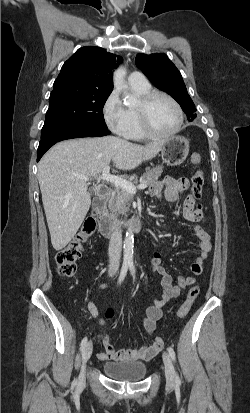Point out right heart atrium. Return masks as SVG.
<instances>
[{
  "mask_svg": "<svg viewBox=\"0 0 250 413\" xmlns=\"http://www.w3.org/2000/svg\"><path fill=\"white\" fill-rule=\"evenodd\" d=\"M105 124L113 133L124 135L127 125V114L117 91H112L102 106Z\"/></svg>",
  "mask_w": 250,
  "mask_h": 413,
  "instance_id": "1",
  "label": "right heart atrium"
}]
</instances>
